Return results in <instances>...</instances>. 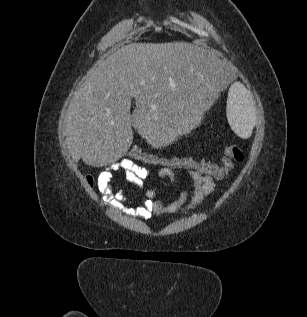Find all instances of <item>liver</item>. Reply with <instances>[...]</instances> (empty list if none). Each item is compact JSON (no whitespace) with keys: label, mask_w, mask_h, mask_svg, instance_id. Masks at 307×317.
<instances>
[{"label":"liver","mask_w":307,"mask_h":317,"mask_svg":"<svg viewBox=\"0 0 307 317\" xmlns=\"http://www.w3.org/2000/svg\"><path fill=\"white\" fill-rule=\"evenodd\" d=\"M229 72L222 55L185 42L122 47L88 72L68 106L72 158L95 167L115 162L132 143V126L154 146L172 142L225 97Z\"/></svg>","instance_id":"liver-1"}]
</instances>
